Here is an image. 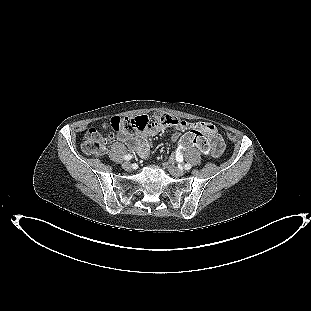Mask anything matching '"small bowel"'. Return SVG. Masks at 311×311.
<instances>
[{
    "mask_svg": "<svg viewBox=\"0 0 311 311\" xmlns=\"http://www.w3.org/2000/svg\"><path fill=\"white\" fill-rule=\"evenodd\" d=\"M177 132L172 135V140L174 142L181 143L180 131L192 128L199 129L206 133L211 141V148L207 149L205 152H209L214 158L221 156L224 149V142L219 134L217 128L209 122H186L185 126L175 127ZM165 127L163 125L152 126L146 131L139 133L135 138L130 137L127 134H120L118 139L127 144L128 148L138 154L139 156L145 158L149 155L150 147L148 143V138L156 136L157 134L164 132ZM189 147V146H188ZM177 156L181 155V149L178 148L176 152Z\"/></svg>",
    "mask_w": 311,
    "mask_h": 311,
    "instance_id": "1",
    "label": "small bowel"
}]
</instances>
